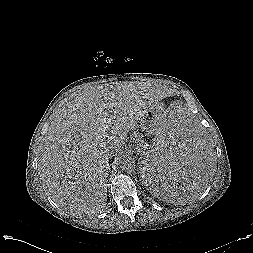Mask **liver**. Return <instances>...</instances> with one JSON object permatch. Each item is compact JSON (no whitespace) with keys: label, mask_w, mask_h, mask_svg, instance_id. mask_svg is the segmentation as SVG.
Here are the masks:
<instances>
[{"label":"liver","mask_w":253,"mask_h":253,"mask_svg":"<svg viewBox=\"0 0 253 253\" xmlns=\"http://www.w3.org/2000/svg\"><path fill=\"white\" fill-rule=\"evenodd\" d=\"M159 85L122 82L75 93L41 141L38 168L61 207L95 213L106 204L109 159L164 96Z\"/></svg>","instance_id":"obj_1"}]
</instances>
